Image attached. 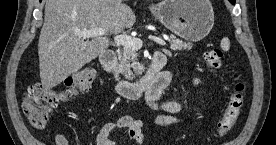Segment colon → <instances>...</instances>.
Returning <instances> with one entry per match:
<instances>
[{"label": "colon", "mask_w": 276, "mask_h": 145, "mask_svg": "<svg viewBox=\"0 0 276 145\" xmlns=\"http://www.w3.org/2000/svg\"><path fill=\"white\" fill-rule=\"evenodd\" d=\"M222 56L220 49L208 50L203 57L204 65L218 71L222 67ZM95 78L94 70L83 69L69 75L62 89L45 87L40 83L30 85L22 102V110L30 125L34 128L44 127L54 107L80 92L87 91ZM244 90L242 82L234 85L229 102L217 123L216 137H224L236 124L244 106Z\"/></svg>", "instance_id": "colon-1"}]
</instances>
